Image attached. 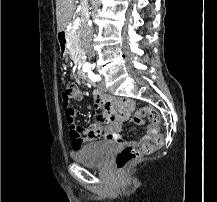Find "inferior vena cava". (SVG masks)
I'll use <instances>...</instances> for the list:
<instances>
[{"label": "inferior vena cava", "instance_id": "1", "mask_svg": "<svg viewBox=\"0 0 217 202\" xmlns=\"http://www.w3.org/2000/svg\"><path fill=\"white\" fill-rule=\"evenodd\" d=\"M81 4L85 6V8H88V2L87 0H81ZM89 16V14H88ZM81 40L83 44V48L88 56V58H93L95 56L94 54V46H93V30L92 28H87V30H83L81 32Z\"/></svg>", "mask_w": 217, "mask_h": 202}]
</instances>
